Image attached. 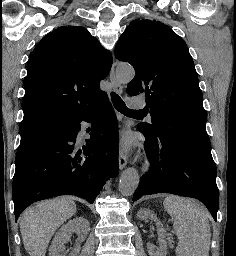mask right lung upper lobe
Listing matches in <instances>:
<instances>
[{"mask_svg": "<svg viewBox=\"0 0 236 256\" xmlns=\"http://www.w3.org/2000/svg\"><path fill=\"white\" fill-rule=\"evenodd\" d=\"M111 53L80 26H62L34 48L27 65L23 120L72 119L107 94L99 83L111 68Z\"/></svg>", "mask_w": 236, "mask_h": 256, "instance_id": "1", "label": "right lung upper lobe"}]
</instances>
